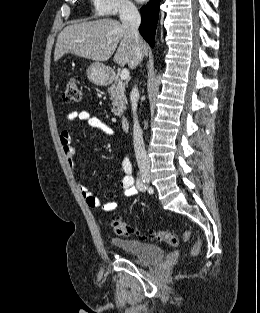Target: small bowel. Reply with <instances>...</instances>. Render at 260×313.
Returning a JSON list of instances; mask_svg holds the SVG:
<instances>
[{"instance_id": "1", "label": "small bowel", "mask_w": 260, "mask_h": 313, "mask_svg": "<svg viewBox=\"0 0 260 313\" xmlns=\"http://www.w3.org/2000/svg\"><path fill=\"white\" fill-rule=\"evenodd\" d=\"M68 119L70 121L79 120V121H85L94 129L100 130L103 133L113 136L114 131L113 129L103 122L101 119H99L96 116H93L90 112L86 110H74L69 113ZM72 140V134L69 130H63L60 133L59 141L62 148V152L64 155V158L66 160L67 165L69 166L70 170L74 175L78 174V166L75 159V151L71 145ZM121 168H122V179L120 182V188L121 192L125 196H134L137 193V190L134 186V178L132 175V164L130 160L127 157H122L121 159ZM77 188L82 196V198L85 200L86 204L93 209H102L105 212H111L114 211L118 203L117 201H108L106 203H102L98 197H96L89 188L82 182H78Z\"/></svg>"}]
</instances>
